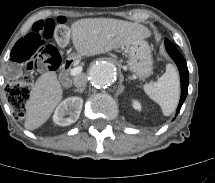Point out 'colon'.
<instances>
[{
	"label": "colon",
	"instance_id": "5ec220e1",
	"mask_svg": "<svg viewBox=\"0 0 215 183\" xmlns=\"http://www.w3.org/2000/svg\"><path fill=\"white\" fill-rule=\"evenodd\" d=\"M68 21L63 16L38 21L11 50L7 72L9 84L6 97L17 116H24L30 97L31 79L28 70L53 71L61 64V55L53 45L54 41H65Z\"/></svg>",
	"mask_w": 215,
	"mask_h": 183
}]
</instances>
